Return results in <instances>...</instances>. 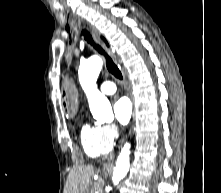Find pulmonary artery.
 Instances as JSON below:
<instances>
[{
    "label": "pulmonary artery",
    "instance_id": "e3ab8cb5",
    "mask_svg": "<svg viewBox=\"0 0 221 193\" xmlns=\"http://www.w3.org/2000/svg\"><path fill=\"white\" fill-rule=\"evenodd\" d=\"M100 91L103 94L111 95V94H114L116 92V86L111 81H105L101 84Z\"/></svg>",
    "mask_w": 221,
    "mask_h": 193
}]
</instances>
